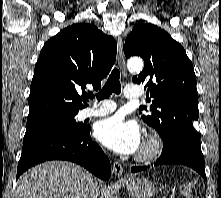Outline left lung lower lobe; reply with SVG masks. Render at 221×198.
<instances>
[{"instance_id": "0a47b994", "label": "left lung lower lobe", "mask_w": 221, "mask_h": 198, "mask_svg": "<svg viewBox=\"0 0 221 198\" xmlns=\"http://www.w3.org/2000/svg\"><path fill=\"white\" fill-rule=\"evenodd\" d=\"M164 141V146L157 164H179L191 167L205 180V162L201 152L200 139L191 137H173ZM147 166L132 167L131 172H139Z\"/></svg>"}]
</instances>
